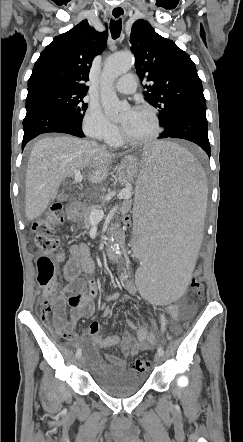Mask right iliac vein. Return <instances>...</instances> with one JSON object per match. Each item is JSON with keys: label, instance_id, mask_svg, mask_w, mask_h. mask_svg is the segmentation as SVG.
<instances>
[{"label": "right iliac vein", "instance_id": "1", "mask_svg": "<svg viewBox=\"0 0 243 442\" xmlns=\"http://www.w3.org/2000/svg\"><path fill=\"white\" fill-rule=\"evenodd\" d=\"M84 363H85V358H84V356H82V357H80L79 364H80V366H83Z\"/></svg>", "mask_w": 243, "mask_h": 442}]
</instances>
